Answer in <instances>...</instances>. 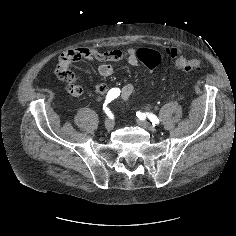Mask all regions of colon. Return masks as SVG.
Masks as SVG:
<instances>
[{
  "instance_id": "obj_1",
  "label": "colon",
  "mask_w": 236,
  "mask_h": 236,
  "mask_svg": "<svg viewBox=\"0 0 236 236\" xmlns=\"http://www.w3.org/2000/svg\"><path fill=\"white\" fill-rule=\"evenodd\" d=\"M166 54L173 60L175 67L179 70L189 72L201 67V61L199 59L187 58L177 48H167ZM137 57L149 70L155 69L162 62L160 52L152 48H140L137 50ZM69 67V60L61 58L55 70L57 77L64 79Z\"/></svg>"
}]
</instances>
